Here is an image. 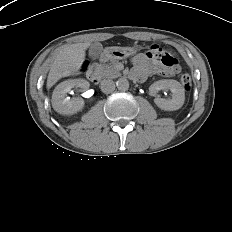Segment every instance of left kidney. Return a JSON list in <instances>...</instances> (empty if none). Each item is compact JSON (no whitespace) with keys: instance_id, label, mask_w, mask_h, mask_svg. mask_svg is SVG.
I'll use <instances>...</instances> for the list:
<instances>
[{"instance_id":"obj_1","label":"left kidney","mask_w":232,"mask_h":232,"mask_svg":"<svg viewBox=\"0 0 232 232\" xmlns=\"http://www.w3.org/2000/svg\"><path fill=\"white\" fill-rule=\"evenodd\" d=\"M160 90H170L172 93L171 99L155 98V104L160 109L165 111H175L183 106L185 101V91L178 81L173 79L159 80L149 87L150 93L154 96H156Z\"/></svg>"}]
</instances>
